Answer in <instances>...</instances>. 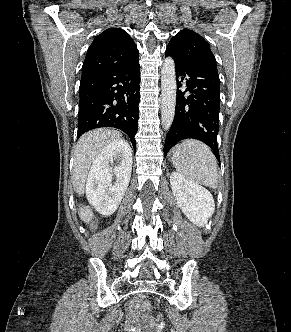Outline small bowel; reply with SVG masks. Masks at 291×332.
I'll return each instance as SVG.
<instances>
[{
	"instance_id": "1",
	"label": "small bowel",
	"mask_w": 291,
	"mask_h": 332,
	"mask_svg": "<svg viewBox=\"0 0 291 332\" xmlns=\"http://www.w3.org/2000/svg\"><path fill=\"white\" fill-rule=\"evenodd\" d=\"M132 317H133L134 321H136V322H143V323H147V324H150L153 322V319L150 316L140 313L136 307L132 308Z\"/></svg>"
}]
</instances>
